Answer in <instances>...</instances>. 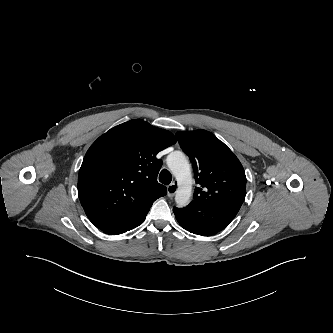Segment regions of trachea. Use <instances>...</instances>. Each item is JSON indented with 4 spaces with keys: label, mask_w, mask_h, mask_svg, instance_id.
I'll return each mask as SVG.
<instances>
[{
    "label": "trachea",
    "mask_w": 333,
    "mask_h": 333,
    "mask_svg": "<svg viewBox=\"0 0 333 333\" xmlns=\"http://www.w3.org/2000/svg\"><path fill=\"white\" fill-rule=\"evenodd\" d=\"M159 181L162 184L169 185L172 181V175L167 169H163L159 175Z\"/></svg>",
    "instance_id": "obj_1"
}]
</instances>
